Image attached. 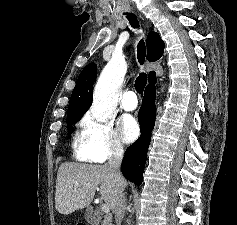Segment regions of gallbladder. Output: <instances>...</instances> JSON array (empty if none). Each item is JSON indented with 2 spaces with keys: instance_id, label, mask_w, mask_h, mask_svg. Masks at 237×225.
<instances>
[{
  "instance_id": "obj_1",
  "label": "gallbladder",
  "mask_w": 237,
  "mask_h": 225,
  "mask_svg": "<svg viewBox=\"0 0 237 225\" xmlns=\"http://www.w3.org/2000/svg\"><path fill=\"white\" fill-rule=\"evenodd\" d=\"M98 223H99L98 218L95 219L94 221H90V224H92V225H98Z\"/></svg>"
}]
</instances>
